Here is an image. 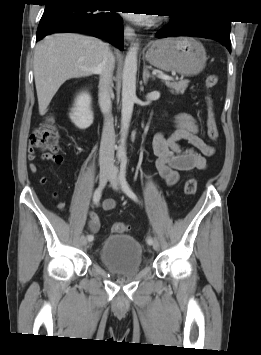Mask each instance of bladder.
I'll return each mask as SVG.
<instances>
[{"label":"bladder","instance_id":"1","mask_svg":"<svg viewBox=\"0 0 261 355\" xmlns=\"http://www.w3.org/2000/svg\"><path fill=\"white\" fill-rule=\"evenodd\" d=\"M100 261L113 274L122 278L135 277L142 269L143 249L132 236H107L100 248Z\"/></svg>","mask_w":261,"mask_h":355}]
</instances>
